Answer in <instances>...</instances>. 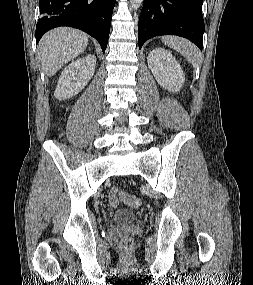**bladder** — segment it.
<instances>
[{
	"instance_id": "obj_1",
	"label": "bladder",
	"mask_w": 253,
	"mask_h": 285,
	"mask_svg": "<svg viewBox=\"0 0 253 285\" xmlns=\"http://www.w3.org/2000/svg\"><path fill=\"white\" fill-rule=\"evenodd\" d=\"M113 219L118 223L132 222L136 219V214L133 211L121 209L115 212Z\"/></svg>"
}]
</instances>
